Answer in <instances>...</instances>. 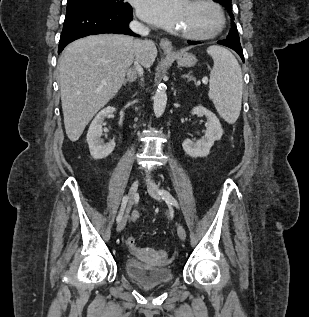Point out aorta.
<instances>
[{
    "label": "aorta",
    "mask_w": 309,
    "mask_h": 317,
    "mask_svg": "<svg viewBox=\"0 0 309 317\" xmlns=\"http://www.w3.org/2000/svg\"><path fill=\"white\" fill-rule=\"evenodd\" d=\"M153 101V110L155 116L160 117L164 113L167 103V94L164 84H160L158 86V89L153 97Z\"/></svg>",
    "instance_id": "obj_1"
}]
</instances>
